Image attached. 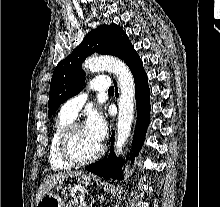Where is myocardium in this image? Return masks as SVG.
I'll use <instances>...</instances> for the list:
<instances>
[{"label":"myocardium","mask_w":220,"mask_h":207,"mask_svg":"<svg viewBox=\"0 0 220 207\" xmlns=\"http://www.w3.org/2000/svg\"><path fill=\"white\" fill-rule=\"evenodd\" d=\"M78 127L82 126L79 123H70L63 130L58 143L61 158L72 166H83L90 164L96 161L98 158H100L104 151V146L100 144V147L97 150V152L93 154L91 157L86 159H79L75 157L71 151V138L74 130Z\"/></svg>","instance_id":"myocardium-1"}]
</instances>
